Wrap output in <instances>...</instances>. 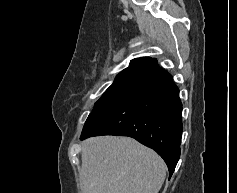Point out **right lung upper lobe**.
<instances>
[{
	"label": "right lung upper lobe",
	"instance_id": "cb5924a9",
	"mask_svg": "<svg viewBox=\"0 0 237 193\" xmlns=\"http://www.w3.org/2000/svg\"><path fill=\"white\" fill-rule=\"evenodd\" d=\"M155 61L156 59H153L150 57H141V58L133 59L130 61L129 67L124 69L120 74L132 72V71H145L147 67Z\"/></svg>",
	"mask_w": 237,
	"mask_h": 193
}]
</instances>
